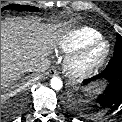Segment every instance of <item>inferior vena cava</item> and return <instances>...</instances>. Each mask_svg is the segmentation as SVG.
Here are the masks:
<instances>
[{
  "label": "inferior vena cava",
  "mask_w": 122,
  "mask_h": 122,
  "mask_svg": "<svg viewBox=\"0 0 122 122\" xmlns=\"http://www.w3.org/2000/svg\"><path fill=\"white\" fill-rule=\"evenodd\" d=\"M49 67H50V61L47 58H44L41 61L37 62L32 67V71L40 73L46 71Z\"/></svg>",
  "instance_id": "inferior-vena-cava-1"
}]
</instances>
